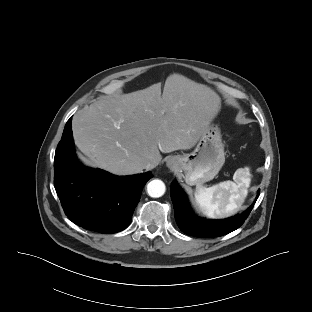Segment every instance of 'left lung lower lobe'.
<instances>
[{"instance_id": "1", "label": "left lung lower lobe", "mask_w": 312, "mask_h": 312, "mask_svg": "<svg viewBox=\"0 0 312 312\" xmlns=\"http://www.w3.org/2000/svg\"><path fill=\"white\" fill-rule=\"evenodd\" d=\"M170 192L177 225L182 232L195 237H219L236 230L244 223L254 206V204H252L242 214L235 215L230 218L210 220L199 218L193 213L187 201L186 195L180 189L176 181L172 182ZM258 196L259 191L256 199Z\"/></svg>"}]
</instances>
